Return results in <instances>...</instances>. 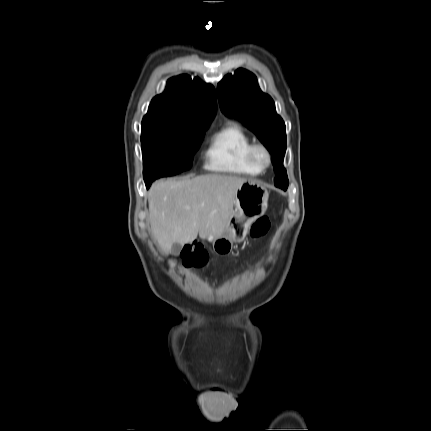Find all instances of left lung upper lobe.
<instances>
[{
  "label": "left lung upper lobe",
  "mask_w": 431,
  "mask_h": 431,
  "mask_svg": "<svg viewBox=\"0 0 431 431\" xmlns=\"http://www.w3.org/2000/svg\"><path fill=\"white\" fill-rule=\"evenodd\" d=\"M217 95L222 112L240 120L254 132L272 155L275 186L286 190L288 178L283 167L286 151L285 125L275 110L272 98L263 93L256 77L244 69L227 75L219 83Z\"/></svg>",
  "instance_id": "obj_1"
}]
</instances>
